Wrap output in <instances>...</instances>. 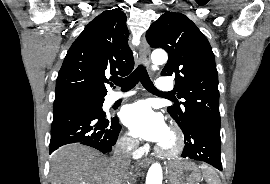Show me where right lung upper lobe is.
<instances>
[{"instance_id":"1","label":"right lung upper lobe","mask_w":270,"mask_h":184,"mask_svg":"<svg viewBox=\"0 0 270 184\" xmlns=\"http://www.w3.org/2000/svg\"><path fill=\"white\" fill-rule=\"evenodd\" d=\"M126 19L121 9L106 10L84 28L58 73L55 98L104 97L108 76L131 73L134 60L128 45Z\"/></svg>"}]
</instances>
